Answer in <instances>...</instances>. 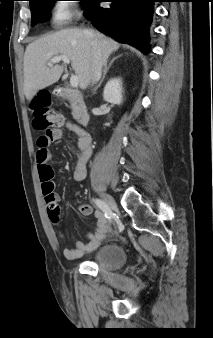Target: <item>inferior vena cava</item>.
I'll return each mask as SVG.
<instances>
[{
	"label": "inferior vena cava",
	"instance_id": "inferior-vena-cava-1",
	"mask_svg": "<svg viewBox=\"0 0 213 338\" xmlns=\"http://www.w3.org/2000/svg\"><path fill=\"white\" fill-rule=\"evenodd\" d=\"M92 46H93V65H92L91 83L93 85L97 83L101 77L102 67L103 65L106 64V58L102 56L101 49L95 40H93Z\"/></svg>",
	"mask_w": 213,
	"mask_h": 338
}]
</instances>
